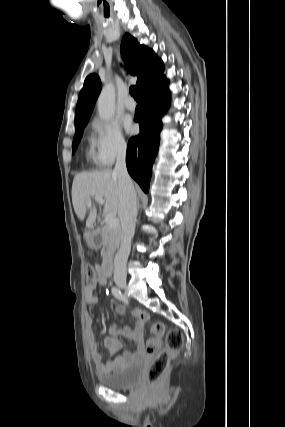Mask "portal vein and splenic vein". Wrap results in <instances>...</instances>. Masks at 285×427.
<instances>
[{
    "label": "portal vein and splenic vein",
    "mask_w": 285,
    "mask_h": 427,
    "mask_svg": "<svg viewBox=\"0 0 285 427\" xmlns=\"http://www.w3.org/2000/svg\"><path fill=\"white\" fill-rule=\"evenodd\" d=\"M95 201L101 205H104V200L101 197L96 196ZM92 204L91 200L87 201V205L90 207ZM106 224L110 227H117L119 225V220L116 218V213L108 212L105 217Z\"/></svg>",
    "instance_id": "18ae733b"
}]
</instances>
